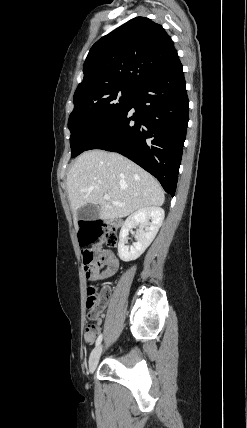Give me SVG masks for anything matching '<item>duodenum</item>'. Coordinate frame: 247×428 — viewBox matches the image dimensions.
Wrapping results in <instances>:
<instances>
[{
  "instance_id": "1",
  "label": "duodenum",
  "mask_w": 247,
  "mask_h": 428,
  "mask_svg": "<svg viewBox=\"0 0 247 428\" xmlns=\"http://www.w3.org/2000/svg\"><path fill=\"white\" fill-rule=\"evenodd\" d=\"M112 224L115 226H120L121 222L120 220L115 219V220H112Z\"/></svg>"
}]
</instances>
